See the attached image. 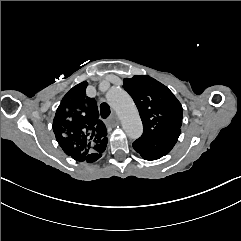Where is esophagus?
Returning a JSON list of instances; mask_svg holds the SVG:
<instances>
[{
	"mask_svg": "<svg viewBox=\"0 0 241 241\" xmlns=\"http://www.w3.org/2000/svg\"><path fill=\"white\" fill-rule=\"evenodd\" d=\"M111 119H112V122L110 124L113 127L118 122V118L115 113H112Z\"/></svg>",
	"mask_w": 241,
	"mask_h": 241,
	"instance_id": "esophagus-1",
	"label": "esophagus"
}]
</instances>
